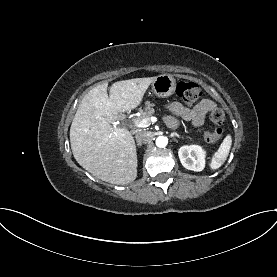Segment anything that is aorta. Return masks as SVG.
<instances>
[{"instance_id": "aorta-1", "label": "aorta", "mask_w": 277, "mask_h": 277, "mask_svg": "<svg viewBox=\"0 0 277 277\" xmlns=\"http://www.w3.org/2000/svg\"><path fill=\"white\" fill-rule=\"evenodd\" d=\"M168 143V140L166 137L164 136H159L157 139H156V146L157 147H160V148H163V147H166Z\"/></svg>"}]
</instances>
